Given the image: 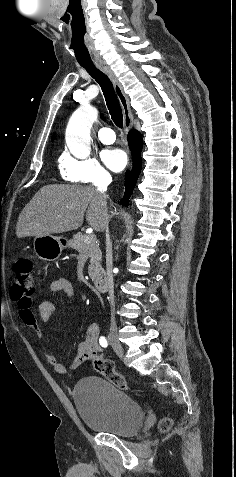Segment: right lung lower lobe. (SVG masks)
Instances as JSON below:
<instances>
[{
  "instance_id": "right-lung-lower-lobe-1",
  "label": "right lung lower lobe",
  "mask_w": 236,
  "mask_h": 477,
  "mask_svg": "<svg viewBox=\"0 0 236 477\" xmlns=\"http://www.w3.org/2000/svg\"><path fill=\"white\" fill-rule=\"evenodd\" d=\"M128 143L133 156V170L126 172L125 177V192L122 198V204L128 205L129 198L132 195L136 181L141 171V149L143 147V140L141 134L137 130H131L128 134Z\"/></svg>"
}]
</instances>
